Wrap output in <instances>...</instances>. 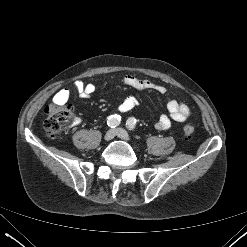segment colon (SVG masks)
Listing matches in <instances>:
<instances>
[{"mask_svg": "<svg viewBox=\"0 0 247 247\" xmlns=\"http://www.w3.org/2000/svg\"><path fill=\"white\" fill-rule=\"evenodd\" d=\"M74 117V107L70 104L49 103L45 108L44 128L51 137L58 136L66 127H68ZM185 136H191L194 133V126L186 124L183 127Z\"/></svg>", "mask_w": 247, "mask_h": 247, "instance_id": "5ec220e1", "label": "colon"}]
</instances>
